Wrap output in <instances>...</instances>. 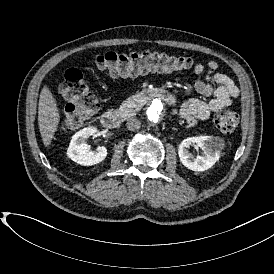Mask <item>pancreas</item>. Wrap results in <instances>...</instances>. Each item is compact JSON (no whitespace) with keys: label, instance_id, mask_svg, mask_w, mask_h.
Listing matches in <instances>:
<instances>
[{"label":"pancreas","instance_id":"pancreas-1","mask_svg":"<svg viewBox=\"0 0 274 274\" xmlns=\"http://www.w3.org/2000/svg\"><path fill=\"white\" fill-rule=\"evenodd\" d=\"M141 108L142 105L135 101V96H131L120 105L117 112L120 114L122 120H126L134 117L136 112L140 111Z\"/></svg>","mask_w":274,"mask_h":274}]
</instances>
